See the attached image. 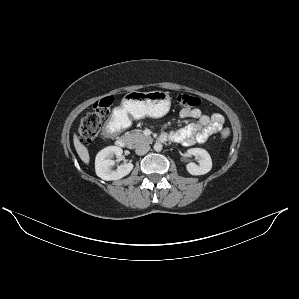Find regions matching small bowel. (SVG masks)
<instances>
[{
  "label": "small bowel",
  "instance_id": "c3829d8e",
  "mask_svg": "<svg viewBox=\"0 0 299 299\" xmlns=\"http://www.w3.org/2000/svg\"><path fill=\"white\" fill-rule=\"evenodd\" d=\"M180 117L183 119L192 118L196 123H190L185 127L173 131L169 134V138L176 143L184 146H191L197 143L205 142L210 136L221 132L224 128L225 120L220 114L208 115L200 109H182ZM114 120L119 122V118Z\"/></svg>",
  "mask_w": 299,
  "mask_h": 299
}]
</instances>
